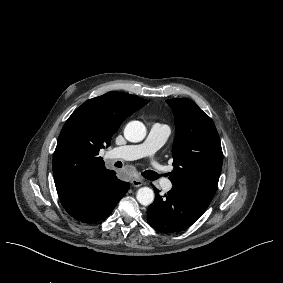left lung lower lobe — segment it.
<instances>
[{
	"mask_svg": "<svg viewBox=\"0 0 283 283\" xmlns=\"http://www.w3.org/2000/svg\"><path fill=\"white\" fill-rule=\"evenodd\" d=\"M155 200L148 208L147 221L154 229L164 233L180 232L191 226L209 204L175 185L164 196L153 186Z\"/></svg>",
	"mask_w": 283,
	"mask_h": 283,
	"instance_id": "0a47b994",
	"label": "left lung lower lobe"
}]
</instances>
